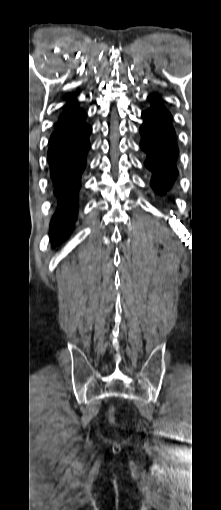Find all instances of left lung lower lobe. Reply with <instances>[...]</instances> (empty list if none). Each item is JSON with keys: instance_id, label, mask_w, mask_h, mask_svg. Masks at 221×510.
I'll use <instances>...</instances> for the list:
<instances>
[{"instance_id": "left-lung-lower-lobe-1", "label": "left lung lower lobe", "mask_w": 221, "mask_h": 510, "mask_svg": "<svg viewBox=\"0 0 221 510\" xmlns=\"http://www.w3.org/2000/svg\"><path fill=\"white\" fill-rule=\"evenodd\" d=\"M142 116L144 123L139 131L142 136L140 147L147 154L144 164L152 174V188L163 195L173 185L178 174L175 131L161 125L147 112H143Z\"/></svg>"}]
</instances>
